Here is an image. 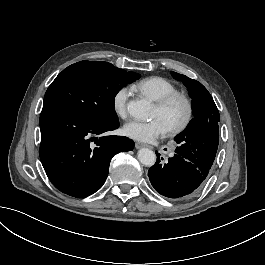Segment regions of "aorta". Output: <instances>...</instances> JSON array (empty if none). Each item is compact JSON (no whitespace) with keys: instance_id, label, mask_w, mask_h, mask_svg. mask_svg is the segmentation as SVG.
Here are the masks:
<instances>
[{"instance_id":"aorta-1","label":"aorta","mask_w":265,"mask_h":265,"mask_svg":"<svg viewBox=\"0 0 265 265\" xmlns=\"http://www.w3.org/2000/svg\"><path fill=\"white\" fill-rule=\"evenodd\" d=\"M127 112L134 118L147 120L151 118L152 106L146 100H130L127 103ZM138 159L146 167H152L156 163V155L150 149H141Z\"/></svg>"}]
</instances>
